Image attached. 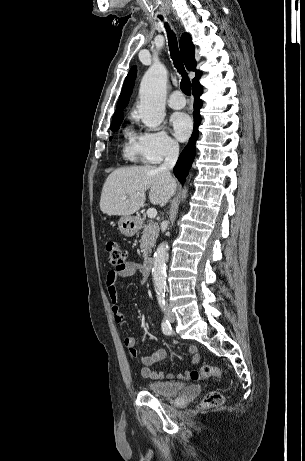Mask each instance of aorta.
Returning <instances> with one entry per match:
<instances>
[{
	"label": "aorta",
	"mask_w": 305,
	"mask_h": 461,
	"mask_svg": "<svg viewBox=\"0 0 305 461\" xmlns=\"http://www.w3.org/2000/svg\"><path fill=\"white\" fill-rule=\"evenodd\" d=\"M167 69L161 63H154L145 73L140 84L138 112L142 122L151 128L159 126L165 118ZM187 190L182 191V199ZM168 243L163 242L154 253L152 277L158 297L164 296L166 288V256Z\"/></svg>",
	"instance_id": "aorta-1"
}]
</instances>
